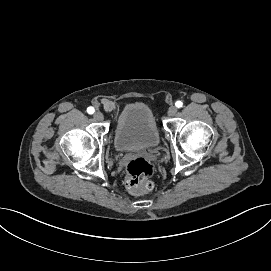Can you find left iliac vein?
I'll use <instances>...</instances> for the list:
<instances>
[{
    "instance_id": "4c4485c4",
    "label": "left iliac vein",
    "mask_w": 271,
    "mask_h": 271,
    "mask_svg": "<svg viewBox=\"0 0 271 271\" xmlns=\"http://www.w3.org/2000/svg\"><path fill=\"white\" fill-rule=\"evenodd\" d=\"M177 112H178V109H177L176 106H171L168 109V115L169 116H175Z\"/></svg>"
}]
</instances>
